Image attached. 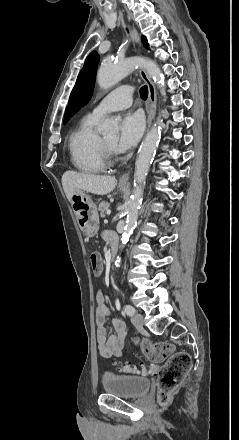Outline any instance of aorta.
<instances>
[{
  "label": "aorta",
  "instance_id": "762f6f07",
  "mask_svg": "<svg viewBox=\"0 0 239 440\" xmlns=\"http://www.w3.org/2000/svg\"><path fill=\"white\" fill-rule=\"evenodd\" d=\"M145 66L148 74L152 76L155 82H161V72L159 66L152 62V60H141V58H129L124 60L122 64H112V62H102L96 76L97 84L103 90L115 86L118 82H121L123 78H126L127 74L136 70L138 66ZM119 122L117 118H106L102 122L101 126H98V132L101 136H108V134H118ZM160 138V126L159 122H156L155 126H152L149 130L139 152V156L135 164L134 172V186L132 196L130 198L129 206L127 208V218L125 232L122 236V242H126L129 238L139 216L140 206L142 204L144 186L146 182V176L148 174L149 166L153 160L156 146ZM120 258H117L115 262L116 268L120 266Z\"/></svg>",
  "mask_w": 239,
  "mask_h": 440
}]
</instances>
